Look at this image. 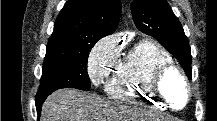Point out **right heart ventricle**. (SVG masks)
I'll return each instance as SVG.
<instances>
[{
    "label": "right heart ventricle",
    "mask_w": 217,
    "mask_h": 121,
    "mask_svg": "<svg viewBox=\"0 0 217 121\" xmlns=\"http://www.w3.org/2000/svg\"><path fill=\"white\" fill-rule=\"evenodd\" d=\"M169 63L172 58L160 45L150 39L140 40L116 63L105 92L116 101L164 110L154 97L150 82L154 72Z\"/></svg>",
    "instance_id": "1"
}]
</instances>
